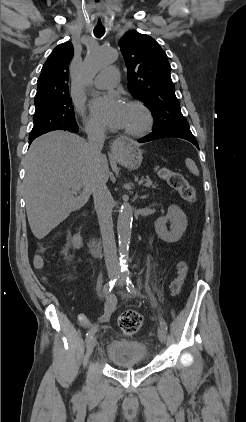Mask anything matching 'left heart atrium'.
<instances>
[{
	"instance_id": "obj_1",
	"label": "left heart atrium",
	"mask_w": 246,
	"mask_h": 422,
	"mask_svg": "<svg viewBox=\"0 0 246 422\" xmlns=\"http://www.w3.org/2000/svg\"><path fill=\"white\" fill-rule=\"evenodd\" d=\"M127 105L116 93L100 96L90 105L93 118L114 129L123 128Z\"/></svg>"
}]
</instances>
